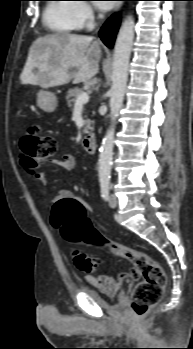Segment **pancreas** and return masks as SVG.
<instances>
[{
    "label": "pancreas",
    "instance_id": "1",
    "mask_svg": "<svg viewBox=\"0 0 193 349\" xmlns=\"http://www.w3.org/2000/svg\"><path fill=\"white\" fill-rule=\"evenodd\" d=\"M84 90L80 89V88H74V89H70L67 92V96H66V100H67V105L68 107H72L73 104L76 102L77 97L83 93ZM91 120H89L87 118V116H85V121H84V128H83V133H89V130L91 129Z\"/></svg>",
    "mask_w": 193,
    "mask_h": 349
}]
</instances>
